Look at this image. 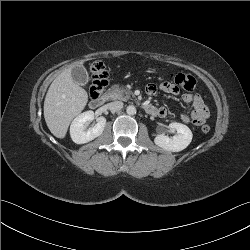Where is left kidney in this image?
I'll list each match as a JSON object with an SVG mask.
<instances>
[{"instance_id": "5707ae66", "label": "left kidney", "mask_w": 250, "mask_h": 250, "mask_svg": "<svg viewBox=\"0 0 250 250\" xmlns=\"http://www.w3.org/2000/svg\"><path fill=\"white\" fill-rule=\"evenodd\" d=\"M171 129L177 131V135L168 137L165 134H158L154 142L157 146L171 152L184 150L192 141V132L184 124L173 122L169 125Z\"/></svg>"}]
</instances>
